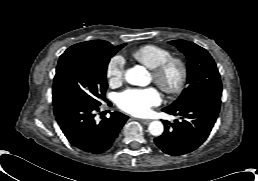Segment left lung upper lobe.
Instances as JSON below:
<instances>
[{
  "label": "left lung upper lobe",
  "mask_w": 258,
  "mask_h": 181,
  "mask_svg": "<svg viewBox=\"0 0 258 181\" xmlns=\"http://www.w3.org/2000/svg\"><path fill=\"white\" fill-rule=\"evenodd\" d=\"M176 46L188 58V87L180 97L166 108H178L205 98L221 99L220 74L211 55L195 43L174 40Z\"/></svg>",
  "instance_id": "5c2ea615"
}]
</instances>
